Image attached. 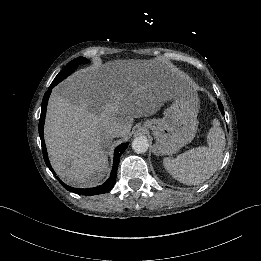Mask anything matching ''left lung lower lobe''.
<instances>
[{
  "label": "left lung lower lobe",
  "instance_id": "left-lung-lower-lobe-1",
  "mask_svg": "<svg viewBox=\"0 0 261 261\" xmlns=\"http://www.w3.org/2000/svg\"><path fill=\"white\" fill-rule=\"evenodd\" d=\"M218 107H219L221 113L224 115V108H223V105L220 100H218Z\"/></svg>",
  "mask_w": 261,
  "mask_h": 261
}]
</instances>
